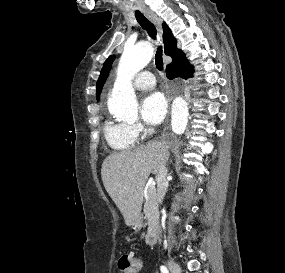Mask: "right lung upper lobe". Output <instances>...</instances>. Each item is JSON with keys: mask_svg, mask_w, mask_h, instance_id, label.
I'll list each match as a JSON object with an SVG mask.
<instances>
[{"mask_svg": "<svg viewBox=\"0 0 285 273\" xmlns=\"http://www.w3.org/2000/svg\"><path fill=\"white\" fill-rule=\"evenodd\" d=\"M163 27V38H164V50L165 54L172 57V63L179 62L185 58V54L182 50L177 49V41L173 37V34L170 28L167 26L166 23L162 25Z\"/></svg>", "mask_w": 285, "mask_h": 273, "instance_id": "right-lung-upper-lobe-1", "label": "right lung upper lobe"}]
</instances>
